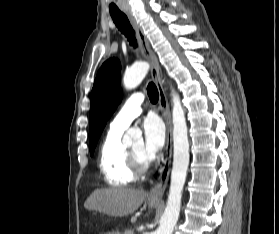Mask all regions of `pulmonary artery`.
Wrapping results in <instances>:
<instances>
[{
  "label": "pulmonary artery",
  "instance_id": "1",
  "mask_svg": "<svg viewBox=\"0 0 279 234\" xmlns=\"http://www.w3.org/2000/svg\"><path fill=\"white\" fill-rule=\"evenodd\" d=\"M143 101L144 95L142 93L132 94L112 120L110 129L113 131H124L140 115Z\"/></svg>",
  "mask_w": 279,
  "mask_h": 234
}]
</instances>
